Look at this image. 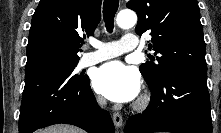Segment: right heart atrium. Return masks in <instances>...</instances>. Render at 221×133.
<instances>
[{
    "label": "right heart atrium",
    "mask_w": 221,
    "mask_h": 133,
    "mask_svg": "<svg viewBox=\"0 0 221 133\" xmlns=\"http://www.w3.org/2000/svg\"><path fill=\"white\" fill-rule=\"evenodd\" d=\"M97 101H98L99 104L103 103V100L101 98H98Z\"/></svg>",
    "instance_id": "d8ad5b80"
}]
</instances>
